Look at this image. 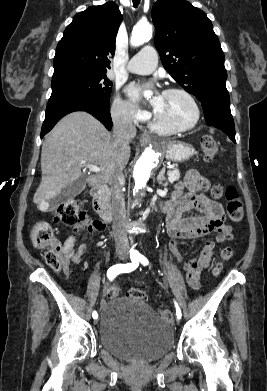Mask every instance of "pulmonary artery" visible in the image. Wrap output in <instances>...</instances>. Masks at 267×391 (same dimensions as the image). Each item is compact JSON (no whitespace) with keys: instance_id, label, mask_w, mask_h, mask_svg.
Here are the masks:
<instances>
[{"instance_id":"e3ab8cb5","label":"pulmonary artery","mask_w":267,"mask_h":391,"mask_svg":"<svg viewBox=\"0 0 267 391\" xmlns=\"http://www.w3.org/2000/svg\"><path fill=\"white\" fill-rule=\"evenodd\" d=\"M157 63L156 49L152 46H145L130 59L127 70L136 74H149L156 68Z\"/></svg>"}]
</instances>
